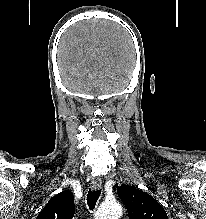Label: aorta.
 I'll return each instance as SVG.
<instances>
[{"label":"aorta","instance_id":"obj_1","mask_svg":"<svg viewBox=\"0 0 206 219\" xmlns=\"http://www.w3.org/2000/svg\"><path fill=\"white\" fill-rule=\"evenodd\" d=\"M122 206L118 202L102 204L95 214L94 219H119Z\"/></svg>","mask_w":206,"mask_h":219}]
</instances>
